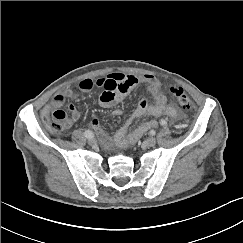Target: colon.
I'll list each match as a JSON object with an SVG mask.
<instances>
[{
	"instance_id": "colon-1",
	"label": "colon",
	"mask_w": 243,
	"mask_h": 243,
	"mask_svg": "<svg viewBox=\"0 0 243 243\" xmlns=\"http://www.w3.org/2000/svg\"><path fill=\"white\" fill-rule=\"evenodd\" d=\"M132 84V81L130 82ZM172 98L178 103V105L185 109L191 110L193 108V102L185 93L181 87H172L171 90ZM44 116V121L51 129V131L56 133H61L68 128V118L63 110H56L52 114L49 113Z\"/></svg>"
}]
</instances>
